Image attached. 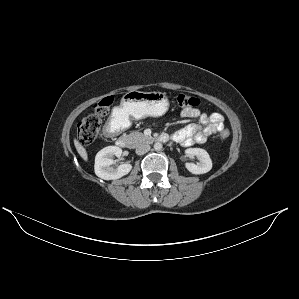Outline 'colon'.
<instances>
[{
  "mask_svg": "<svg viewBox=\"0 0 299 299\" xmlns=\"http://www.w3.org/2000/svg\"><path fill=\"white\" fill-rule=\"evenodd\" d=\"M175 103L181 108H193L199 105V100L185 93H177L174 96ZM113 98L104 97L94 104V112L84 117L78 124V137L85 143H92L98 136L101 126V117L106 116L112 105ZM229 130L223 129L220 133L222 139L229 137Z\"/></svg>",
  "mask_w": 299,
  "mask_h": 299,
  "instance_id": "colon-1",
  "label": "colon"
}]
</instances>
